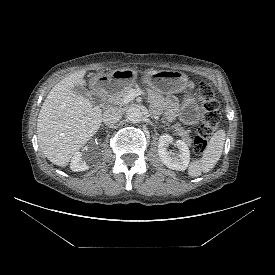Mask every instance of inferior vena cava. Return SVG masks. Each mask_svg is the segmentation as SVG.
<instances>
[{
	"instance_id": "602c4592",
	"label": "inferior vena cava",
	"mask_w": 275,
	"mask_h": 275,
	"mask_svg": "<svg viewBox=\"0 0 275 275\" xmlns=\"http://www.w3.org/2000/svg\"><path fill=\"white\" fill-rule=\"evenodd\" d=\"M122 117V113L117 108L107 110L103 115V122L105 125H113L117 123Z\"/></svg>"
}]
</instances>
